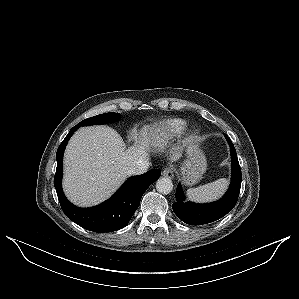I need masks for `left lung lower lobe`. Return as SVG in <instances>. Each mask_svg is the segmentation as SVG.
I'll return each instance as SVG.
<instances>
[{
	"label": "left lung lower lobe",
	"instance_id": "1",
	"mask_svg": "<svg viewBox=\"0 0 299 299\" xmlns=\"http://www.w3.org/2000/svg\"><path fill=\"white\" fill-rule=\"evenodd\" d=\"M224 135L231 150L232 180L230 187L220 200L213 203L196 204L184 202L185 196L179 183L176 189V202L173 203L172 208L175 214L187 224L203 225L214 222L230 212L238 200L242 180L241 169L235 147L230 138L226 134Z\"/></svg>",
	"mask_w": 299,
	"mask_h": 299
}]
</instances>
